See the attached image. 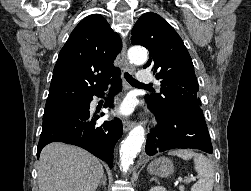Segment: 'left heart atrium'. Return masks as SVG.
<instances>
[{
	"label": "left heart atrium",
	"instance_id": "1",
	"mask_svg": "<svg viewBox=\"0 0 251 191\" xmlns=\"http://www.w3.org/2000/svg\"><path fill=\"white\" fill-rule=\"evenodd\" d=\"M132 110V105L129 102H124L118 108L117 113L121 116H127L132 112Z\"/></svg>",
	"mask_w": 251,
	"mask_h": 191
}]
</instances>
